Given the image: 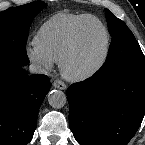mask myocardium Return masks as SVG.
I'll return each mask as SVG.
<instances>
[{"instance_id":"1","label":"myocardium","mask_w":145,"mask_h":145,"mask_svg":"<svg viewBox=\"0 0 145 145\" xmlns=\"http://www.w3.org/2000/svg\"><path fill=\"white\" fill-rule=\"evenodd\" d=\"M94 21L98 23L104 32V46L100 57L90 66L83 69L73 68V61L76 58L82 44V30L85 25ZM110 50V34L106 25L97 17L91 16L81 21L75 29L73 40L59 62L60 71L64 78L70 81H84L95 75L105 64Z\"/></svg>"}]
</instances>
